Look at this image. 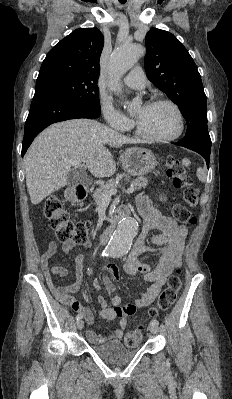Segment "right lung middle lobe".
Instances as JSON below:
<instances>
[{
	"label": "right lung middle lobe",
	"instance_id": "1",
	"mask_svg": "<svg viewBox=\"0 0 232 399\" xmlns=\"http://www.w3.org/2000/svg\"><path fill=\"white\" fill-rule=\"evenodd\" d=\"M48 88L66 95L96 112H101L99 89L95 83L67 77H56L36 82L35 89Z\"/></svg>",
	"mask_w": 232,
	"mask_h": 399
}]
</instances>
